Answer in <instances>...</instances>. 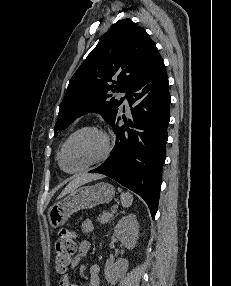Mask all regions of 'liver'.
<instances>
[{
	"label": "liver",
	"instance_id": "6515ba94",
	"mask_svg": "<svg viewBox=\"0 0 231 286\" xmlns=\"http://www.w3.org/2000/svg\"><path fill=\"white\" fill-rule=\"evenodd\" d=\"M103 176L99 175V174H84V175H80L78 177H76L73 181H71L66 187L65 189L61 192V194L59 195L58 198H62L65 195L71 193L72 191H74L75 189H77L79 186L93 181V180H97V179H101Z\"/></svg>",
	"mask_w": 231,
	"mask_h": 286
}]
</instances>
